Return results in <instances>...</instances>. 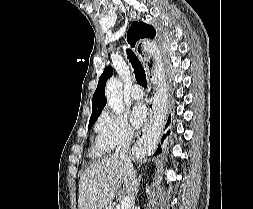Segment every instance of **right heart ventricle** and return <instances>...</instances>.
<instances>
[{
	"label": "right heart ventricle",
	"mask_w": 253,
	"mask_h": 209,
	"mask_svg": "<svg viewBox=\"0 0 253 209\" xmlns=\"http://www.w3.org/2000/svg\"><path fill=\"white\" fill-rule=\"evenodd\" d=\"M103 149L96 143L95 149L92 150L93 153L99 154Z\"/></svg>",
	"instance_id": "right-heart-ventricle-1"
}]
</instances>
